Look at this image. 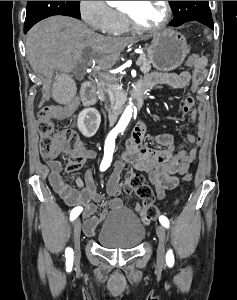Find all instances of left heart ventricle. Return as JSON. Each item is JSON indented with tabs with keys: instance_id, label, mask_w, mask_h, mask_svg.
<instances>
[{
	"instance_id": "1",
	"label": "left heart ventricle",
	"mask_w": 237,
	"mask_h": 300,
	"mask_svg": "<svg viewBox=\"0 0 237 300\" xmlns=\"http://www.w3.org/2000/svg\"><path fill=\"white\" fill-rule=\"evenodd\" d=\"M121 5L139 24L144 26H157L165 16L163 1H122Z\"/></svg>"
}]
</instances>
